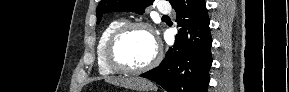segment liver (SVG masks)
I'll list each match as a JSON object with an SVG mask.
<instances>
[{
	"instance_id": "obj_1",
	"label": "liver",
	"mask_w": 289,
	"mask_h": 92,
	"mask_svg": "<svg viewBox=\"0 0 289 92\" xmlns=\"http://www.w3.org/2000/svg\"><path fill=\"white\" fill-rule=\"evenodd\" d=\"M107 81L115 85H121L136 90H144L152 87V84L144 79L121 78V79H108Z\"/></svg>"
}]
</instances>
